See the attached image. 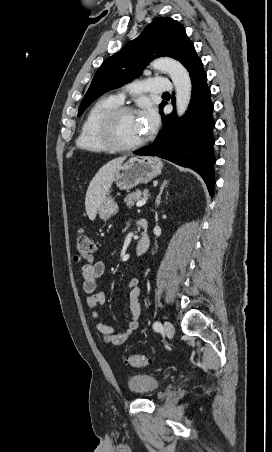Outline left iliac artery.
Returning a JSON list of instances; mask_svg holds the SVG:
<instances>
[{
    "instance_id": "obj_1",
    "label": "left iliac artery",
    "mask_w": 272,
    "mask_h": 452,
    "mask_svg": "<svg viewBox=\"0 0 272 452\" xmlns=\"http://www.w3.org/2000/svg\"><path fill=\"white\" fill-rule=\"evenodd\" d=\"M153 329H154L155 331H161V330L163 329L162 324H161L159 321H156V322L153 324Z\"/></svg>"
}]
</instances>
